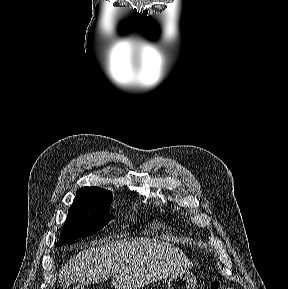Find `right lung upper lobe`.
<instances>
[{"label": "right lung upper lobe", "mask_w": 288, "mask_h": 289, "mask_svg": "<svg viewBox=\"0 0 288 289\" xmlns=\"http://www.w3.org/2000/svg\"><path fill=\"white\" fill-rule=\"evenodd\" d=\"M108 192L110 191L98 187H83L77 190L76 197H97Z\"/></svg>", "instance_id": "right-lung-upper-lobe-1"}]
</instances>
